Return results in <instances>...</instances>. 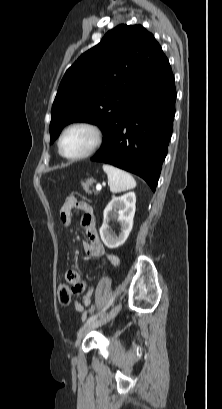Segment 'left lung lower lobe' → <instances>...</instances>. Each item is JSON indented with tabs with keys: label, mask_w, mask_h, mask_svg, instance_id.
<instances>
[{
	"label": "left lung lower lobe",
	"mask_w": 222,
	"mask_h": 409,
	"mask_svg": "<svg viewBox=\"0 0 222 409\" xmlns=\"http://www.w3.org/2000/svg\"><path fill=\"white\" fill-rule=\"evenodd\" d=\"M175 100L171 70L130 101L104 133L92 160L132 172L155 191L172 134Z\"/></svg>",
	"instance_id": "0a47b994"
}]
</instances>
